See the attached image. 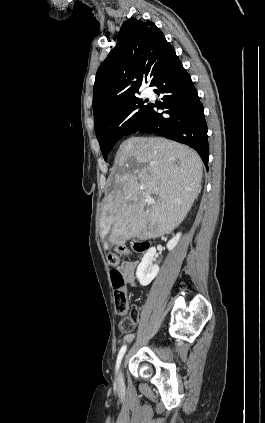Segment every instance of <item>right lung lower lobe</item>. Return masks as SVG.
Returning a JSON list of instances; mask_svg holds the SVG:
<instances>
[{"instance_id": "1", "label": "right lung lower lobe", "mask_w": 265, "mask_h": 423, "mask_svg": "<svg viewBox=\"0 0 265 423\" xmlns=\"http://www.w3.org/2000/svg\"><path fill=\"white\" fill-rule=\"evenodd\" d=\"M151 86L163 94L162 106L151 104L126 135L156 133L195 149L208 169L209 146L203 106L193 82L176 56ZM158 109H165L163 116Z\"/></svg>"}]
</instances>
